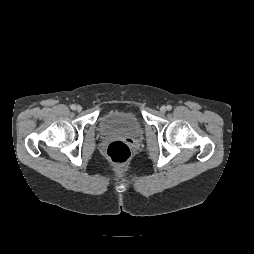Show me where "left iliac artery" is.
<instances>
[{
	"instance_id": "44dca946",
	"label": "left iliac artery",
	"mask_w": 254,
	"mask_h": 254,
	"mask_svg": "<svg viewBox=\"0 0 254 254\" xmlns=\"http://www.w3.org/2000/svg\"><path fill=\"white\" fill-rule=\"evenodd\" d=\"M166 108H167V110H169V111H170V110L172 109V106H171V105H167V107H166Z\"/></svg>"
}]
</instances>
